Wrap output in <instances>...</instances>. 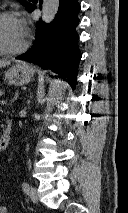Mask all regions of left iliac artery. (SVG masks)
I'll list each match as a JSON object with an SVG mask.
<instances>
[{"instance_id": "1", "label": "left iliac artery", "mask_w": 128, "mask_h": 213, "mask_svg": "<svg viewBox=\"0 0 128 213\" xmlns=\"http://www.w3.org/2000/svg\"><path fill=\"white\" fill-rule=\"evenodd\" d=\"M22 188H23V191L26 194H29L31 187H30V185L27 182H23L22 183Z\"/></svg>"}]
</instances>
